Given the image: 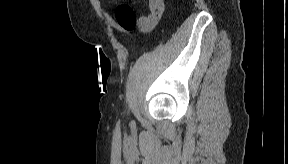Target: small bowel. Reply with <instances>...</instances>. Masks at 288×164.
<instances>
[{
  "label": "small bowel",
  "instance_id": "1",
  "mask_svg": "<svg viewBox=\"0 0 288 164\" xmlns=\"http://www.w3.org/2000/svg\"><path fill=\"white\" fill-rule=\"evenodd\" d=\"M149 8L150 14L142 16V19L145 21L142 27L144 31L151 30L158 23L164 12L165 5L162 0H150Z\"/></svg>",
  "mask_w": 288,
  "mask_h": 164
}]
</instances>
